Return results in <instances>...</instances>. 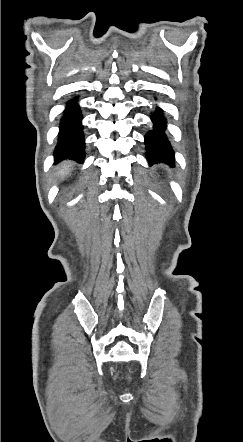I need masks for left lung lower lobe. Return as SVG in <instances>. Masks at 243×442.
Instances as JSON below:
<instances>
[{"instance_id": "1", "label": "left lung lower lobe", "mask_w": 243, "mask_h": 442, "mask_svg": "<svg viewBox=\"0 0 243 442\" xmlns=\"http://www.w3.org/2000/svg\"><path fill=\"white\" fill-rule=\"evenodd\" d=\"M159 107L151 115L154 123L153 130L145 135L146 158L150 164L163 161L171 165L174 164V152L165 134L167 121Z\"/></svg>"}]
</instances>
